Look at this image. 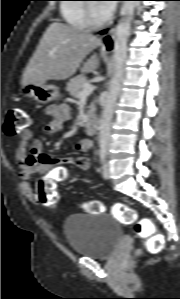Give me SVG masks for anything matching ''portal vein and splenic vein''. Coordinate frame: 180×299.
<instances>
[{"label":"portal vein and splenic vein","instance_id":"obj_1","mask_svg":"<svg viewBox=\"0 0 180 299\" xmlns=\"http://www.w3.org/2000/svg\"><path fill=\"white\" fill-rule=\"evenodd\" d=\"M94 89H95V87L93 85L85 84L83 86L82 91L79 93L78 97L79 98L87 97L88 95H90L94 91Z\"/></svg>","mask_w":180,"mask_h":299}]
</instances>
